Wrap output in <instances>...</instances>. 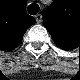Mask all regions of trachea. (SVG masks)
Instances as JSON below:
<instances>
[{"label":"trachea","mask_w":80,"mask_h":80,"mask_svg":"<svg viewBox=\"0 0 80 80\" xmlns=\"http://www.w3.org/2000/svg\"><path fill=\"white\" fill-rule=\"evenodd\" d=\"M39 9V5L32 3L28 6L27 11L31 15H36L39 12Z\"/></svg>","instance_id":"obj_1"}]
</instances>
